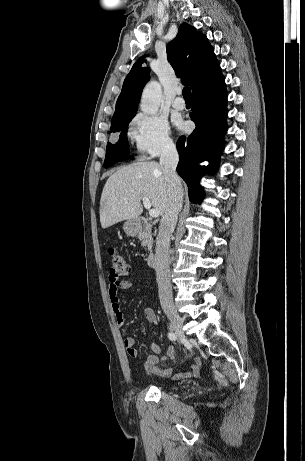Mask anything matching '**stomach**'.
<instances>
[{"label": "stomach", "instance_id": "1", "mask_svg": "<svg viewBox=\"0 0 305 461\" xmlns=\"http://www.w3.org/2000/svg\"><path fill=\"white\" fill-rule=\"evenodd\" d=\"M124 232L127 236L134 237L138 235L140 229L133 220H128L123 225Z\"/></svg>", "mask_w": 305, "mask_h": 461}]
</instances>
